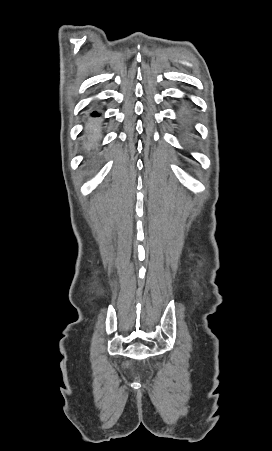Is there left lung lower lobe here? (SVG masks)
I'll use <instances>...</instances> for the list:
<instances>
[{
    "mask_svg": "<svg viewBox=\"0 0 272 451\" xmlns=\"http://www.w3.org/2000/svg\"><path fill=\"white\" fill-rule=\"evenodd\" d=\"M186 128H187V125L184 124V129H186Z\"/></svg>",
    "mask_w": 272,
    "mask_h": 451,
    "instance_id": "left-lung-lower-lobe-1",
    "label": "left lung lower lobe"
}]
</instances>
